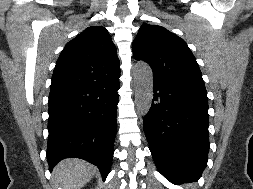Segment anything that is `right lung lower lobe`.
Masks as SVG:
<instances>
[{
    "label": "right lung lower lobe",
    "mask_w": 253,
    "mask_h": 189,
    "mask_svg": "<svg viewBox=\"0 0 253 189\" xmlns=\"http://www.w3.org/2000/svg\"><path fill=\"white\" fill-rule=\"evenodd\" d=\"M119 77L94 83L51 87L47 160L49 170L62 159L78 157L109 174L117 130Z\"/></svg>",
    "instance_id": "98d812e1"
}]
</instances>
